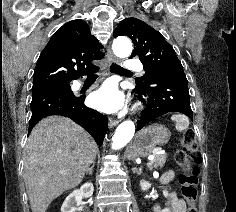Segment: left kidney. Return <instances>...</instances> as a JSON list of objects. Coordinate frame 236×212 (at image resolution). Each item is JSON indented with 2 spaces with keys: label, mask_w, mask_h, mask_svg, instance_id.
I'll list each match as a JSON object with an SVG mask.
<instances>
[{
  "label": "left kidney",
  "mask_w": 236,
  "mask_h": 212,
  "mask_svg": "<svg viewBox=\"0 0 236 212\" xmlns=\"http://www.w3.org/2000/svg\"><path fill=\"white\" fill-rule=\"evenodd\" d=\"M140 186H141V189H142L143 191H146L147 189L150 188L151 184H150L149 182H147V181L141 180V181H140ZM163 195H164L165 197L168 196V191H167L166 189L163 190ZM162 212H170V211H169L168 208H165V209L162 210Z\"/></svg>",
  "instance_id": "5707ae66"
}]
</instances>
